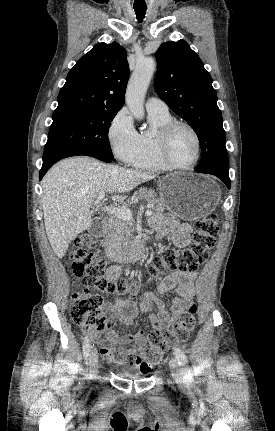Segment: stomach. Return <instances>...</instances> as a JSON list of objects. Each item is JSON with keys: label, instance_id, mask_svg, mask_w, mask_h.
Instances as JSON below:
<instances>
[{"label": "stomach", "instance_id": "0dacf381", "mask_svg": "<svg viewBox=\"0 0 275 431\" xmlns=\"http://www.w3.org/2000/svg\"><path fill=\"white\" fill-rule=\"evenodd\" d=\"M158 190L167 208L188 221L211 214L220 199L218 185L202 174L168 175L160 181Z\"/></svg>", "mask_w": 275, "mask_h": 431}]
</instances>
